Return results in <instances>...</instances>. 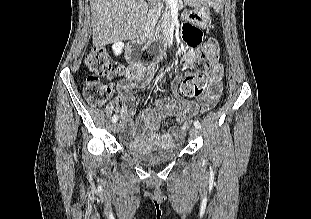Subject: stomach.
<instances>
[{
	"label": "stomach",
	"instance_id": "stomach-1",
	"mask_svg": "<svg viewBox=\"0 0 311 219\" xmlns=\"http://www.w3.org/2000/svg\"><path fill=\"white\" fill-rule=\"evenodd\" d=\"M185 2L194 7L193 10L184 14V17L195 25L206 28L211 23L210 10L206 2L198 0H185Z\"/></svg>",
	"mask_w": 311,
	"mask_h": 219
}]
</instances>
